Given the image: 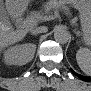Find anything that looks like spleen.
Wrapping results in <instances>:
<instances>
[{
  "mask_svg": "<svg viewBox=\"0 0 91 91\" xmlns=\"http://www.w3.org/2000/svg\"><path fill=\"white\" fill-rule=\"evenodd\" d=\"M76 60L81 70L89 74L91 72V51L88 48H80L76 53Z\"/></svg>",
  "mask_w": 91,
  "mask_h": 91,
  "instance_id": "3e777b00",
  "label": "spleen"
}]
</instances>
